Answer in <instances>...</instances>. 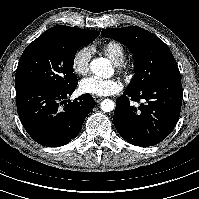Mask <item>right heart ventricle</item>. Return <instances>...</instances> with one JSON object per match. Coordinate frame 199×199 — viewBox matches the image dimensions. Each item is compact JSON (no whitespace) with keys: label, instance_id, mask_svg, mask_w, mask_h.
I'll list each match as a JSON object with an SVG mask.
<instances>
[{"label":"right heart ventricle","instance_id":"obj_1","mask_svg":"<svg viewBox=\"0 0 199 199\" xmlns=\"http://www.w3.org/2000/svg\"><path fill=\"white\" fill-rule=\"evenodd\" d=\"M100 51L103 53L113 64L121 65L126 58L125 48L116 41H109L100 46Z\"/></svg>","mask_w":199,"mask_h":199}]
</instances>
